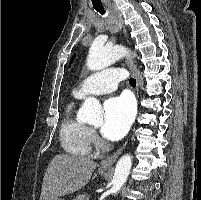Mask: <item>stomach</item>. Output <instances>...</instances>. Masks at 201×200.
<instances>
[{"mask_svg":"<svg viewBox=\"0 0 201 200\" xmlns=\"http://www.w3.org/2000/svg\"><path fill=\"white\" fill-rule=\"evenodd\" d=\"M52 200H63V199L56 197V198H54Z\"/></svg>","mask_w":201,"mask_h":200,"instance_id":"0dacf381","label":"stomach"}]
</instances>
